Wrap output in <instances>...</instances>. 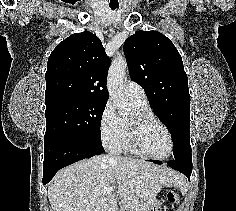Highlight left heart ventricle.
<instances>
[{"instance_id":"b2bd125f","label":"left heart ventricle","mask_w":236,"mask_h":211,"mask_svg":"<svg viewBox=\"0 0 236 211\" xmlns=\"http://www.w3.org/2000/svg\"><path fill=\"white\" fill-rule=\"evenodd\" d=\"M139 144L142 150L156 156H163L169 150V138L165 130L156 123L141 129Z\"/></svg>"}]
</instances>
